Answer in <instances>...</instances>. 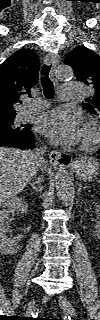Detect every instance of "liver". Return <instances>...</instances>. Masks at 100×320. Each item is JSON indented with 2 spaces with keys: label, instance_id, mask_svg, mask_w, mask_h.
Instances as JSON below:
<instances>
[{
  "label": "liver",
  "instance_id": "1",
  "mask_svg": "<svg viewBox=\"0 0 100 320\" xmlns=\"http://www.w3.org/2000/svg\"><path fill=\"white\" fill-rule=\"evenodd\" d=\"M44 164L43 167H45ZM42 167V168H43ZM37 171L35 154L32 151L0 148V201L8 202L20 193Z\"/></svg>",
  "mask_w": 100,
  "mask_h": 320
}]
</instances>
